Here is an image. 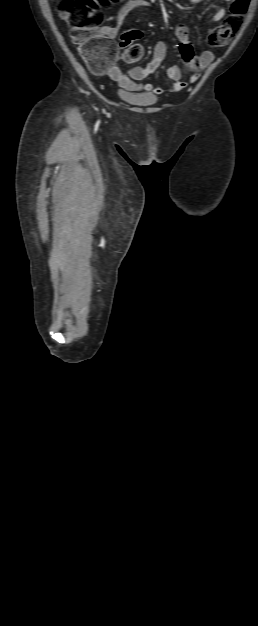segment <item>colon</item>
<instances>
[{
    "label": "colon",
    "mask_w": 258,
    "mask_h": 626,
    "mask_svg": "<svg viewBox=\"0 0 258 626\" xmlns=\"http://www.w3.org/2000/svg\"><path fill=\"white\" fill-rule=\"evenodd\" d=\"M122 0H59L58 12L61 18L68 24L73 42L80 46L82 56L96 71H103L108 65V58L114 53L115 48L106 45L101 37L96 34L98 26L102 23L103 14L101 9L109 5L120 3ZM230 13L224 22L208 37L212 46L226 45L239 30L243 17L247 12L250 0H230ZM140 32L137 30L127 32L122 36L121 47L124 48V59L127 62L139 61L144 48L134 42ZM195 76L190 77L194 82Z\"/></svg>",
    "instance_id": "1"
}]
</instances>
